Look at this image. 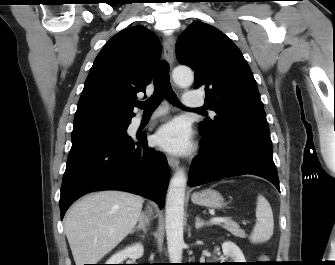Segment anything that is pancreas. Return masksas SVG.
<instances>
[{
  "label": "pancreas",
  "instance_id": "pancreas-1",
  "mask_svg": "<svg viewBox=\"0 0 335 265\" xmlns=\"http://www.w3.org/2000/svg\"><path fill=\"white\" fill-rule=\"evenodd\" d=\"M221 226L236 237L240 238L246 237L245 232L233 220L227 218L226 221Z\"/></svg>",
  "mask_w": 335,
  "mask_h": 265
}]
</instances>
